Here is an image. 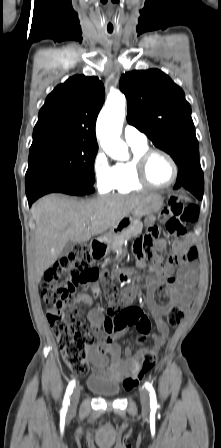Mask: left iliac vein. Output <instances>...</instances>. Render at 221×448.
I'll list each match as a JSON object with an SVG mask.
<instances>
[{
	"label": "left iliac vein",
	"instance_id": "4c4485c4",
	"mask_svg": "<svg viewBox=\"0 0 221 448\" xmlns=\"http://www.w3.org/2000/svg\"><path fill=\"white\" fill-rule=\"evenodd\" d=\"M140 402L144 412H149L150 410V395L147 389L140 388Z\"/></svg>",
	"mask_w": 221,
	"mask_h": 448
}]
</instances>
